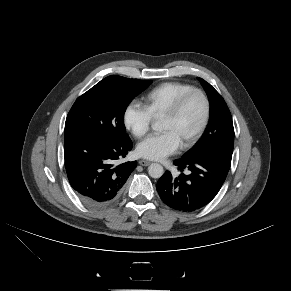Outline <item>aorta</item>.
I'll use <instances>...</instances> for the list:
<instances>
[{
  "instance_id": "aorta-1",
  "label": "aorta",
  "mask_w": 291,
  "mask_h": 291,
  "mask_svg": "<svg viewBox=\"0 0 291 291\" xmlns=\"http://www.w3.org/2000/svg\"><path fill=\"white\" fill-rule=\"evenodd\" d=\"M152 128L154 130H159L160 129L159 123L158 122L153 123ZM148 173L152 178H160L164 173V169H163L162 165H160L158 163H152L148 167Z\"/></svg>"
}]
</instances>
